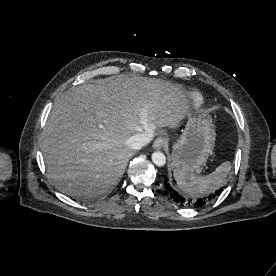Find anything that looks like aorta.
Wrapping results in <instances>:
<instances>
[{"label":"aorta","mask_w":276,"mask_h":276,"mask_svg":"<svg viewBox=\"0 0 276 276\" xmlns=\"http://www.w3.org/2000/svg\"><path fill=\"white\" fill-rule=\"evenodd\" d=\"M152 162L159 167L164 166L166 163V156L162 152L156 151L152 154Z\"/></svg>","instance_id":"aorta-1"}]
</instances>
